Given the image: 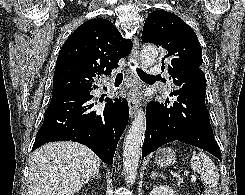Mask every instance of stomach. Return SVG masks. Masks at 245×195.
Instances as JSON below:
<instances>
[{"label": "stomach", "instance_id": "stomach-1", "mask_svg": "<svg viewBox=\"0 0 245 195\" xmlns=\"http://www.w3.org/2000/svg\"><path fill=\"white\" fill-rule=\"evenodd\" d=\"M154 160L160 167L171 166L176 160L175 151L169 147L161 148L156 152Z\"/></svg>", "mask_w": 245, "mask_h": 195}]
</instances>
